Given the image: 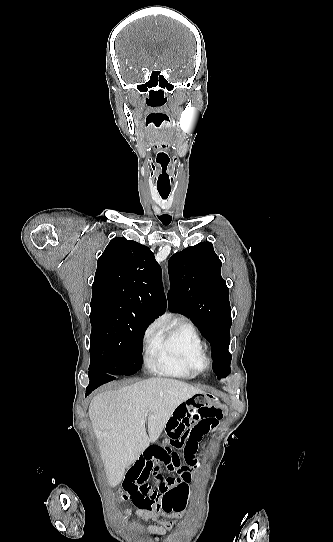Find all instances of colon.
<instances>
[{
	"label": "colon",
	"mask_w": 333,
	"mask_h": 542,
	"mask_svg": "<svg viewBox=\"0 0 333 542\" xmlns=\"http://www.w3.org/2000/svg\"><path fill=\"white\" fill-rule=\"evenodd\" d=\"M194 464L198 465V462L193 463L192 466H194ZM191 467L185 466L181 471V477H183L184 479H189L190 474L192 473ZM120 495L124 499L133 498V497H129L128 489H120ZM179 495L182 500H189L191 498L192 494H191V491L189 490V486L187 483H182L181 487H173V489H166L164 492V496L162 499L164 503L163 507L171 515L174 514L175 512L176 514L179 515L182 512L181 509L185 510L189 506L187 502L181 501L175 507V504L177 502ZM128 509H131V506H128Z\"/></svg>",
	"instance_id": "colon-1"
}]
</instances>
